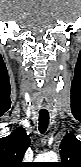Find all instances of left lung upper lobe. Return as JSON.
<instances>
[{"label":"left lung upper lobe","instance_id":"1","mask_svg":"<svg viewBox=\"0 0 81 167\" xmlns=\"http://www.w3.org/2000/svg\"><path fill=\"white\" fill-rule=\"evenodd\" d=\"M60 156L62 162L56 163V167H81V141L74 134L67 133L62 139Z\"/></svg>","mask_w":81,"mask_h":167}]
</instances>
